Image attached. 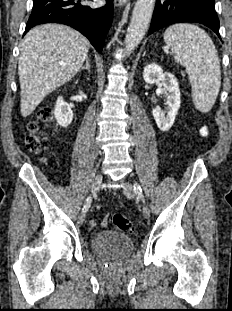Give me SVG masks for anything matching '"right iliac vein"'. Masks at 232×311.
I'll return each mask as SVG.
<instances>
[{
	"label": "right iliac vein",
	"instance_id": "right-iliac-vein-1",
	"mask_svg": "<svg viewBox=\"0 0 232 311\" xmlns=\"http://www.w3.org/2000/svg\"><path fill=\"white\" fill-rule=\"evenodd\" d=\"M102 180H103L102 174L101 173L97 174L91 186L92 194H96L97 191L100 189ZM84 221H85V212H82L78 217V222L82 224Z\"/></svg>",
	"mask_w": 232,
	"mask_h": 311
}]
</instances>
